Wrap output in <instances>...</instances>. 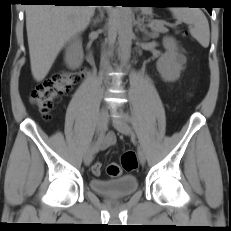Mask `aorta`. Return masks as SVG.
<instances>
[{
	"label": "aorta",
	"instance_id": "aorta-1",
	"mask_svg": "<svg viewBox=\"0 0 231 231\" xmlns=\"http://www.w3.org/2000/svg\"><path fill=\"white\" fill-rule=\"evenodd\" d=\"M118 26V51L123 63H127L131 56L132 44V17L131 8L118 6L116 10Z\"/></svg>",
	"mask_w": 231,
	"mask_h": 231
}]
</instances>
